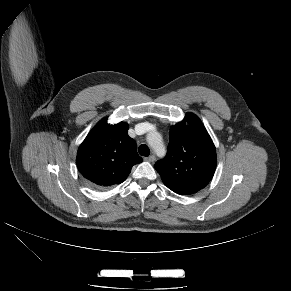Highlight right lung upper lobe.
I'll return each mask as SVG.
<instances>
[{
  "instance_id": "obj_1",
  "label": "right lung upper lobe",
  "mask_w": 291,
  "mask_h": 291,
  "mask_svg": "<svg viewBox=\"0 0 291 291\" xmlns=\"http://www.w3.org/2000/svg\"><path fill=\"white\" fill-rule=\"evenodd\" d=\"M128 124L99 121L77 152L80 173L96 187H108L126 180L133 165L141 163L135 141L128 136Z\"/></svg>"
}]
</instances>
